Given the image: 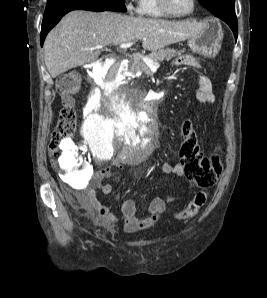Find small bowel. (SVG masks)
<instances>
[{
	"mask_svg": "<svg viewBox=\"0 0 267 298\" xmlns=\"http://www.w3.org/2000/svg\"><path fill=\"white\" fill-rule=\"evenodd\" d=\"M176 66H186L196 72V90L195 98L201 103H214L215 95L213 93V85L210 78L201 71L200 63L191 55H181L175 59ZM161 171L164 174L184 177L185 171L181 164L171 165L164 163L161 165ZM107 174V171H103ZM101 191L105 195H109L112 186L108 183L101 185ZM179 194L171 195L166 198L155 197L148 206L147 215L144 217L137 216L136 204L131 199H125L121 204V212L124 219V228L127 231H136L153 227L160 219L166 205L178 198ZM86 210L93 216L97 224L105 227H112L118 222V217L112 213L108 207L102 205L96 198L95 191L92 188L77 197Z\"/></svg>",
	"mask_w": 267,
	"mask_h": 298,
	"instance_id": "c3829d8e",
	"label": "small bowel"
}]
</instances>
